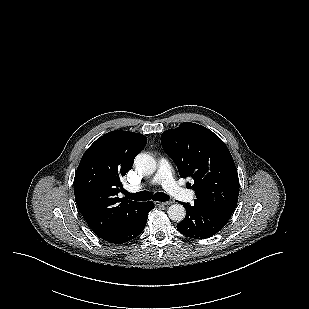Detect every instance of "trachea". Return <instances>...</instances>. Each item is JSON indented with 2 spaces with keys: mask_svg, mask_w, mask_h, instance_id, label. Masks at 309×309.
Masks as SVG:
<instances>
[{
  "mask_svg": "<svg viewBox=\"0 0 309 309\" xmlns=\"http://www.w3.org/2000/svg\"><path fill=\"white\" fill-rule=\"evenodd\" d=\"M124 195L127 199L135 200V201H145V200H151L154 201H168L169 196L163 192H157L154 195L149 191H141L134 194H131L127 191L124 192Z\"/></svg>",
  "mask_w": 309,
  "mask_h": 309,
  "instance_id": "1",
  "label": "trachea"
}]
</instances>
